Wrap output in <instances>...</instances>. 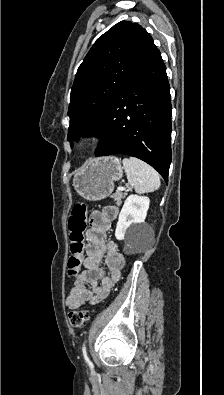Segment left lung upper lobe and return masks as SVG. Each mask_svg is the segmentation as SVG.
<instances>
[{
	"mask_svg": "<svg viewBox=\"0 0 224 395\" xmlns=\"http://www.w3.org/2000/svg\"><path fill=\"white\" fill-rule=\"evenodd\" d=\"M155 48L150 34L130 21L115 24L96 40L71 90L68 140L99 134L107 109Z\"/></svg>",
	"mask_w": 224,
	"mask_h": 395,
	"instance_id": "left-lung-upper-lobe-1",
	"label": "left lung upper lobe"
}]
</instances>
